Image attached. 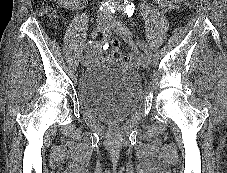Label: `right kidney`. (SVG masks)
<instances>
[{"mask_svg":"<svg viewBox=\"0 0 227 173\" xmlns=\"http://www.w3.org/2000/svg\"><path fill=\"white\" fill-rule=\"evenodd\" d=\"M57 1L59 2V5H61V6H70V5H73L74 3H76V1H78V0H57Z\"/></svg>","mask_w":227,"mask_h":173,"instance_id":"right-kidney-1","label":"right kidney"}]
</instances>
